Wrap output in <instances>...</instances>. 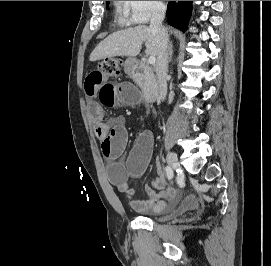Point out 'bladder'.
I'll return each instance as SVG.
<instances>
[{"instance_id": "bladder-1", "label": "bladder", "mask_w": 271, "mask_h": 266, "mask_svg": "<svg viewBox=\"0 0 271 266\" xmlns=\"http://www.w3.org/2000/svg\"><path fill=\"white\" fill-rule=\"evenodd\" d=\"M199 206L200 204L198 199L195 196H189L185 198L179 206L169 210L168 214L164 216L141 215V217H146L152 220L165 221L174 215H183L188 212H194L199 208Z\"/></svg>"}]
</instances>
